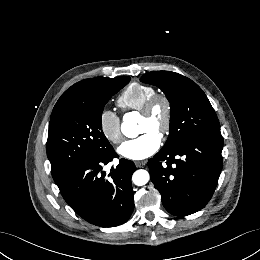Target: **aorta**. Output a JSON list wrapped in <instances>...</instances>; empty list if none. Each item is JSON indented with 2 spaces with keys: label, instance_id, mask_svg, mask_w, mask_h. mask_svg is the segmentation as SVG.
I'll return each mask as SVG.
<instances>
[{
  "label": "aorta",
  "instance_id": "1",
  "mask_svg": "<svg viewBox=\"0 0 260 260\" xmlns=\"http://www.w3.org/2000/svg\"><path fill=\"white\" fill-rule=\"evenodd\" d=\"M121 131L126 137L135 138L139 134V127L133 118H131L129 115H126L123 118ZM149 179H150V175L148 171L144 169H139L135 171L132 176V181L137 186L145 185L146 183H148Z\"/></svg>",
  "mask_w": 260,
  "mask_h": 260
}]
</instances>
